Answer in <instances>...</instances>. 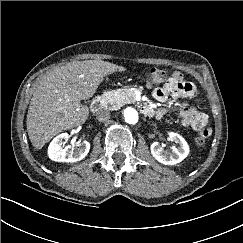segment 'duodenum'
<instances>
[{
    "instance_id": "410a0bca",
    "label": "duodenum",
    "mask_w": 243,
    "mask_h": 243,
    "mask_svg": "<svg viewBox=\"0 0 243 243\" xmlns=\"http://www.w3.org/2000/svg\"><path fill=\"white\" fill-rule=\"evenodd\" d=\"M106 106H107V99L100 95L93 100L91 104V110L93 113H98L101 110H103ZM142 111L147 116H152L154 112L153 108L150 107L149 105H144L142 107Z\"/></svg>"
}]
</instances>
